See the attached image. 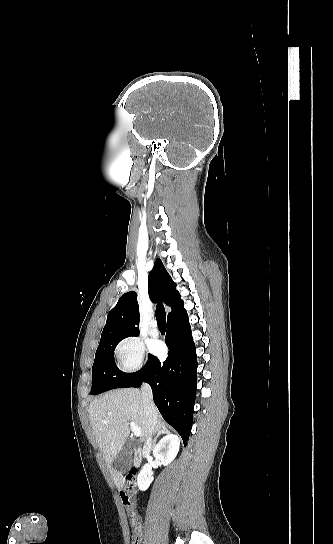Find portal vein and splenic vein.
I'll list each match as a JSON object with an SVG mask.
<instances>
[{"mask_svg":"<svg viewBox=\"0 0 333 544\" xmlns=\"http://www.w3.org/2000/svg\"><path fill=\"white\" fill-rule=\"evenodd\" d=\"M130 428H131L132 432L134 433V435H135L136 437H140V436H141L142 431H141V429L137 426L136 423L130 422Z\"/></svg>","mask_w":333,"mask_h":544,"instance_id":"portal-vein-and-splenic-vein-1","label":"portal vein and splenic vein"}]
</instances>
